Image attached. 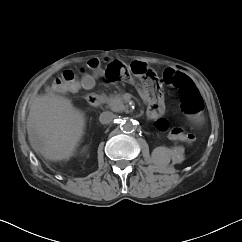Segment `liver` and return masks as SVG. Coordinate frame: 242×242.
Segmentation results:
<instances>
[{
    "instance_id": "6515ba94",
    "label": "liver",
    "mask_w": 242,
    "mask_h": 242,
    "mask_svg": "<svg viewBox=\"0 0 242 242\" xmlns=\"http://www.w3.org/2000/svg\"><path fill=\"white\" fill-rule=\"evenodd\" d=\"M85 127V114L66 97L38 95L31 103L28 140L32 149L48 161L69 160L83 138Z\"/></svg>"
}]
</instances>
